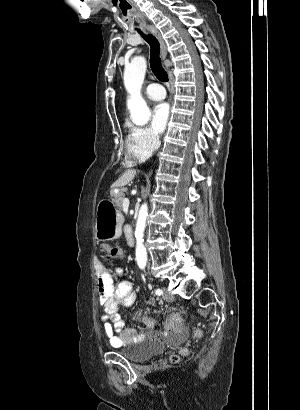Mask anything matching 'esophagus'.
Here are the masks:
<instances>
[{"label":"esophagus","instance_id":"34e87169","mask_svg":"<svg viewBox=\"0 0 300 410\" xmlns=\"http://www.w3.org/2000/svg\"><path fill=\"white\" fill-rule=\"evenodd\" d=\"M146 29L149 32H151L156 37V39L158 40V42L160 44V48H161V57H162L163 60H165L166 57H167V48H166L165 42H164L160 32L153 25H147Z\"/></svg>","mask_w":300,"mask_h":410}]
</instances>
